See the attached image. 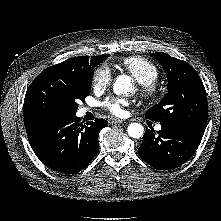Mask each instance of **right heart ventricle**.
Wrapping results in <instances>:
<instances>
[{
	"label": "right heart ventricle",
	"instance_id": "obj_1",
	"mask_svg": "<svg viewBox=\"0 0 221 221\" xmlns=\"http://www.w3.org/2000/svg\"><path fill=\"white\" fill-rule=\"evenodd\" d=\"M120 66L141 85L154 84L160 75L158 67L153 62L140 56L123 58Z\"/></svg>",
	"mask_w": 221,
	"mask_h": 221
}]
</instances>
